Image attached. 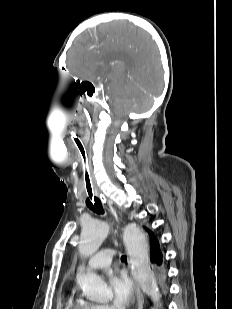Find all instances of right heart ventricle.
<instances>
[{
    "label": "right heart ventricle",
    "instance_id": "e07e8e85",
    "mask_svg": "<svg viewBox=\"0 0 232 309\" xmlns=\"http://www.w3.org/2000/svg\"><path fill=\"white\" fill-rule=\"evenodd\" d=\"M66 309H96V304L73 295L69 298Z\"/></svg>",
    "mask_w": 232,
    "mask_h": 309
}]
</instances>
